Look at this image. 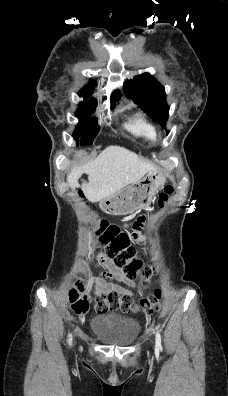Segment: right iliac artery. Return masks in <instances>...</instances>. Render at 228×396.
I'll list each match as a JSON object with an SVG mask.
<instances>
[{
    "label": "right iliac artery",
    "mask_w": 228,
    "mask_h": 396,
    "mask_svg": "<svg viewBox=\"0 0 228 396\" xmlns=\"http://www.w3.org/2000/svg\"><path fill=\"white\" fill-rule=\"evenodd\" d=\"M69 337H70V338H69L68 342H69V345H71V342H72V335L70 334Z\"/></svg>",
    "instance_id": "right-iliac-artery-1"
}]
</instances>
